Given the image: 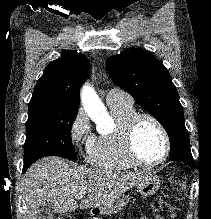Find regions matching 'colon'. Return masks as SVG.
<instances>
[{
  "label": "colon",
  "instance_id": "1",
  "mask_svg": "<svg viewBox=\"0 0 211 219\" xmlns=\"http://www.w3.org/2000/svg\"><path fill=\"white\" fill-rule=\"evenodd\" d=\"M185 196V174L181 168L176 169L162 187L161 198L155 202L154 209L165 213H174L182 206ZM57 219H71L61 216Z\"/></svg>",
  "mask_w": 211,
  "mask_h": 219
}]
</instances>
